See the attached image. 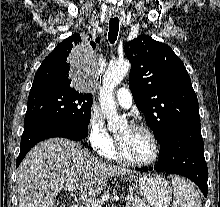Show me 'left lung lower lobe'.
<instances>
[{
    "label": "left lung lower lobe",
    "instance_id": "1",
    "mask_svg": "<svg viewBox=\"0 0 220 207\" xmlns=\"http://www.w3.org/2000/svg\"><path fill=\"white\" fill-rule=\"evenodd\" d=\"M160 158L155 167L144 170L163 171L190 178L207 196L208 169L204 158V144L200 122L178 127L160 144Z\"/></svg>",
    "mask_w": 220,
    "mask_h": 207
}]
</instances>
